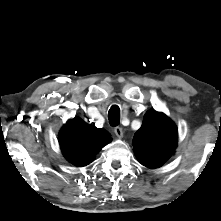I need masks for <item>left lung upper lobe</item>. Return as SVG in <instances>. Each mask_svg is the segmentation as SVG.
Here are the masks:
<instances>
[{
	"label": "left lung upper lobe",
	"mask_w": 221,
	"mask_h": 221,
	"mask_svg": "<svg viewBox=\"0 0 221 221\" xmlns=\"http://www.w3.org/2000/svg\"><path fill=\"white\" fill-rule=\"evenodd\" d=\"M177 142L175 124L163 113L148 111L133 138L139 162L148 168L162 166L174 153Z\"/></svg>",
	"instance_id": "5c2ea615"
}]
</instances>
